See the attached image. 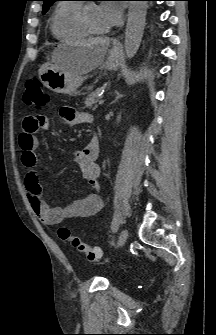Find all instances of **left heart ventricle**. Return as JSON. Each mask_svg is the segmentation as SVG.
<instances>
[{
	"label": "left heart ventricle",
	"instance_id": "obj_1",
	"mask_svg": "<svg viewBox=\"0 0 216 335\" xmlns=\"http://www.w3.org/2000/svg\"><path fill=\"white\" fill-rule=\"evenodd\" d=\"M87 19L92 27V29L96 31H104L106 30L105 25L102 21L99 6L96 4H91L87 9Z\"/></svg>",
	"mask_w": 216,
	"mask_h": 335
}]
</instances>
